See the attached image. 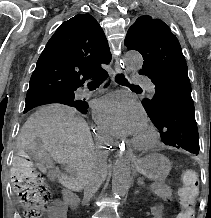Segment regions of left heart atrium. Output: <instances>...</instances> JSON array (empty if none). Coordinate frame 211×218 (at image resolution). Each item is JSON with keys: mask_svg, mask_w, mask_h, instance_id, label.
<instances>
[{"mask_svg": "<svg viewBox=\"0 0 211 218\" xmlns=\"http://www.w3.org/2000/svg\"><path fill=\"white\" fill-rule=\"evenodd\" d=\"M94 118L103 134L114 137L137 135L145 125L142 107L123 93L99 99L95 104Z\"/></svg>", "mask_w": 211, "mask_h": 218, "instance_id": "obj_1", "label": "left heart atrium"}]
</instances>
